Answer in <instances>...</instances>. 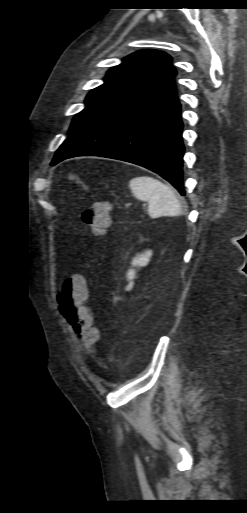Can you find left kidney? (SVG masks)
<instances>
[{
	"label": "left kidney",
	"instance_id": "5707ae66",
	"mask_svg": "<svg viewBox=\"0 0 247 513\" xmlns=\"http://www.w3.org/2000/svg\"><path fill=\"white\" fill-rule=\"evenodd\" d=\"M152 256L151 250H146L145 252L141 254H137L131 262L132 268H130L126 274V278L129 281L128 285L126 286V290L129 291L133 288L134 282L133 280L136 278V270L133 267H143L148 264L150 261V258Z\"/></svg>",
	"mask_w": 247,
	"mask_h": 513
}]
</instances>
